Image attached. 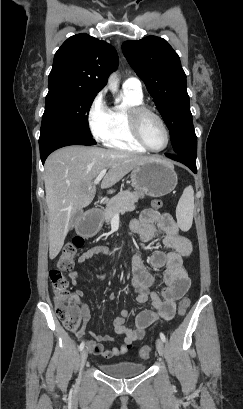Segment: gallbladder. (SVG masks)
<instances>
[{
	"instance_id": "gallbladder-1",
	"label": "gallbladder",
	"mask_w": 243,
	"mask_h": 409,
	"mask_svg": "<svg viewBox=\"0 0 243 409\" xmlns=\"http://www.w3.org/2000/svg\"><path fill=\"white\" fill-rule=\"evenodd\" d=\"M82 215V210H79L74 216H73V218L71 219V222H70V228L72 229L73 227H75V225H76V223H77V221H78V219L80 218V216Z\"/></svg>"
}]
</instances>
